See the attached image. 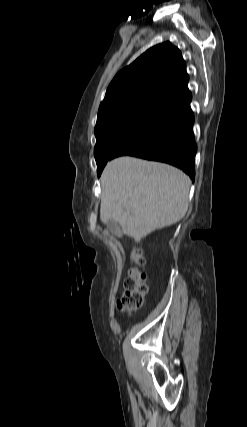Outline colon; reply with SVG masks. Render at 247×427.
<instances>
[{
	"mask_svg": "<svg viewBox=\"0 0 247 427\" xmlns=\"http://www.w3.org/2000/svg\"><path fill=\"white\" fill-rule=\"evenodd\" d=\"M131 261L133 267L124 281V292L117 301L118 309L126 313H132L140 308L148 291L146 275L141 270L145 259L139 248H132Z\"/></svg>",
	"mask_w": 247,
	"mask_h": 427,
	"instance_id": "obj_1",
	"label": "colon"
}]
</instances>
